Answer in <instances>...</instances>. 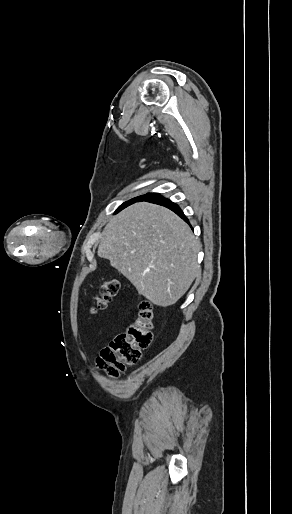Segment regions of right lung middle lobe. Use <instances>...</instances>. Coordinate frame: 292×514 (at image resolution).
Returning a JSON list of instances; mask_svg holds the SVG:
<instances>
[{
    "label": "right lung middle lobe",
    "mask_w": 292,
    "mask_h": 514,
    "mask_svg": "<svg viewBox=\"0 0 292 514\" xmlns=\"http://www.w3.org/2000/svg\"><path fill=\"white\" fill-rule=\"evenodd\" d=\"M144 197H145V195H141V196L135 197V198H133V199H131V200H129V201H127V202L123 203L122 205H120V206L118 207L117 212H118V211H120V210H122V209H124L125 207H127V206H129V205H131V204L135 203V202H138V201L142 200Z\"/></svg>",
    "instance_id": "right-lung-middle-lobe-1"
}]
</instances>
